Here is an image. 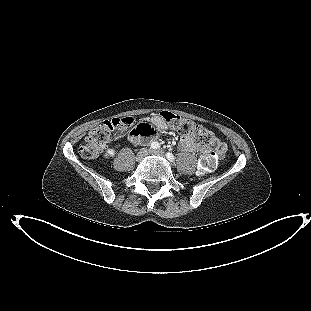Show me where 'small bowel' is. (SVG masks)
Returning a JSON list of instances; mask_svg holds the SVG:
<instances>
[{"mask_svg":"<svg viewBox=\"0 0 311 311\" xmlns=\"http://www.w3.org/2000/svg\"><path fill=\"white\" fill-rule=\"evenodd\" d=\"M150 121L151 123L154 125L155 129L157 131H162L165 130L167 128V125L165 123V121L163 120V118L160 115H153L150 117ZM133 137V136H132ZM131 137V138H132ZM139 138V141H132L131 138V142L133 144H138L141 141L140 136H134ZM179 148L182 151H186V152H195L197 151V146L193 141V138L190 135H183L179 144Z\"/></svg>","mask_w":311,"mask_h":311,"instance_id":"small-bowel-1","label":"small bowel"}]
</instances>
